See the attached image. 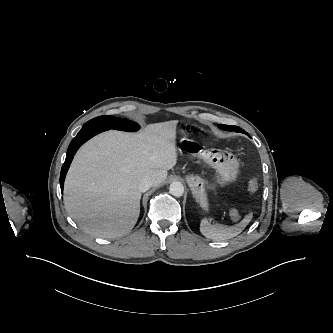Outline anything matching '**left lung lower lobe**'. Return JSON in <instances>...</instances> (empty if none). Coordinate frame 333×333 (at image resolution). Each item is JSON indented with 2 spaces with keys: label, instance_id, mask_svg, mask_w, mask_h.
Here are the masks:
<instances>
[{
  "label": "left lung lower lobe",
  "instance_id": "0a47b994",
  "mask_svg": "<svg viewBox=\"0 0 333 333\" xmlns=\"http://www.w3.org/2000/svg\"><path fill=\"white\" fill-rule=\"evenodd\" d=\"M241 132L247 134V133H246L245 131H243V130H242ZM247 135H248V134H247Z\"/></svg>",
  "mask_w": 333,
  "mask_h": 333
}]
</instances>
